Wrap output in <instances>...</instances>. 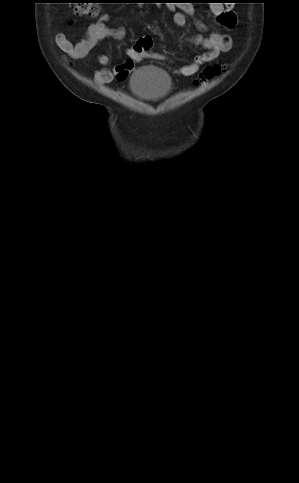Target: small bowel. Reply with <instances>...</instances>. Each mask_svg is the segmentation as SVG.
<instances>
[{"mask_svg": "<svg viewBox=\"0 0 299 483\" xmlns=\"http://www.w3.org/2000/svg\"><path fill=\"white\" fill-rule=\"evenodd\" d=\"M212 4L211 11L222 27L232 30L237 23L236 14L233 11L225 9L220 2ZM169 9L173 12V20L177 26L186 24V15L192 13V7L188 5L177 6L171 5ZM109 21L108 15H102L99 20L92 23L87 31L86 37L80 42H71L64 33H57L55 36L56 44L59 48L72 59H82L95 48L105 38L123 39L126 35V29L123 26L110 27L107 25ZM200 29L204 27L199 25ZM191 42L202 45L206 52L198 54L193 61L176 70L179 75L193 76L202 65L209 64L215 60L221 53H226L232 48V38L227 34L211 33L209 35L195 34L191 37ZM152 38L143 36L134 45L126 50L127 59L113 68L103 67L95 71L92 80L99 85L110 83L113 80L123 82L134 69L135 63L146 58L163 59L162 55L151 51ZM98 62L102 66L110 63L108 55H99Z\"/></svg>", "mask_w": 299, "mask_h": 483, "instance_id": "small-bowel-1", "label": "small bowel"}]
</instances>
